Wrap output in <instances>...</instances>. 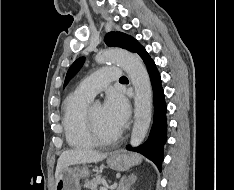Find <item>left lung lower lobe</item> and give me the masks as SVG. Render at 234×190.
Listing matches in <instances>:
<instances>
[{
	"mask_svg": "<svg viewBox=\"0 0 234 190\" xmlns=\"http://www.w3.org/2000/svg\"><path fill=\"white\" fill-rule=\"evenodd\" d=\"M136 53L142 58L150 75L154 94V118L148 140L137 148L127 146V149L137 151L155 163L159 170L163 161V146L167 140V107L164 92L161 85L160 74L154 61L150 58L144 47H140Z\"/></svg>",
	"mask_w": 234,
	"mask_h": 190,
	"instance_id": "0a47b994",
	"label": "left lung lower lobe"
}]
</instances>
